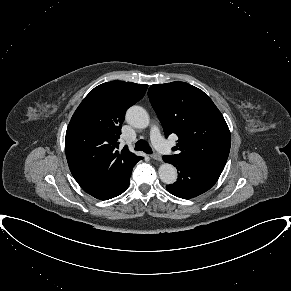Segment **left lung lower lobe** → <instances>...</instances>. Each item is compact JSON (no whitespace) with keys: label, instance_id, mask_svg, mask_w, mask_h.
<instances>
[{"label":"left lung lower lobe","instance_id":"1","mask_svg":"<svg viewBox=\"0 0 291 291\" xmlns=\"http://www.w3.org/2000/svg\"><path fill=\"white\" fill-rule=\"evenodd\" d=\"M163 160L179 171L177 181L167 185L166 189L183 199H191L209 190L224 169L222 166L181 161L173 155L163 156Z\"/></svg>","mask_w":291,"mask_h":291}]
</instances>
